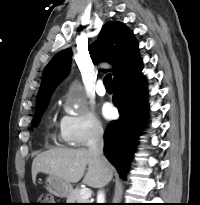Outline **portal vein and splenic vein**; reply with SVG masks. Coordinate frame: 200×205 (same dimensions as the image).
<instances>
[{"label":"portal vein and splenic vein","mask_w":200,"mask_h":205,"mask_svg":"<svg viewBox=\"0 0 200 205\" xmlns=\"http://www.w3.org/2000/svg\"><path fill=\"white\" fill-rule=\"evenodd\" d=\"M92 191L89 188H84L80 190V196L82 199H89L91 197Z\"/></svg>","instance_id":"1"}]
</instances>
